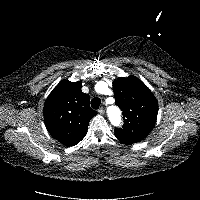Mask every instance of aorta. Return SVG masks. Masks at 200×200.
<instances>
[{"mask_svg":"<svg viewBox=\"0 0 200 200\" xmlns=\"http://www.w3.org/2000/svg\"><path fill=\"white\" fill-rule=\"evenodd\" d=\"M109 114H110V116L115 115L116 117H118L119 116V110L116 107H111L109 109Z\"/></svg>","mask_w":200,"mask_h":200,"instance_id":"aorta-1","label":"aorta"}]
</instances>
